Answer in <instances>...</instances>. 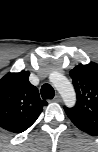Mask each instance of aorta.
<instances>
[{
  "label": "aorta",
  "mask_w": 98,
  "mask_h": 152,
  "mask_svg": "<svg viewBox=\"0 0 98 152\" xmlns=\"http://www.w3.org/2000/svg\"><path fill=\"white\" fill-rule=\"evenodd\" d=\"M50 81L58 90L67 106H73L76 101V95L71 82L62 74L54 72L50 75Z\"/></svg>",
  "instance_id": "1"
}]
</instances>
